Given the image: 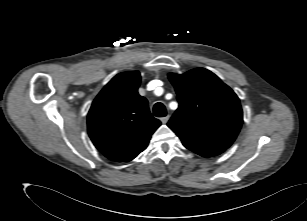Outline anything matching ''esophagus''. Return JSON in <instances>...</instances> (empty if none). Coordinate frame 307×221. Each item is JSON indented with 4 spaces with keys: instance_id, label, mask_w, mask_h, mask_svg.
Segmentation results:
<instances>
[{
    "instance_id": "obj_1",
    "label": "esophagus",
    "mask_w": 307,
    "mask_h": 221,
    "mask_svg": "<svg viewBox=\"0 0 307 221\" xmlns=\"http://www.w3.org/2000/svg\"><path fill=\"white\" fill-rule=\"evenodd\" d=\"M169 118H170L169 115H167V116H165V117H162V118H161V122H162L163 124H166V123L168 122Z\"/></svg>"
}]
</instances>
